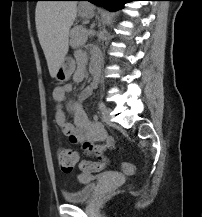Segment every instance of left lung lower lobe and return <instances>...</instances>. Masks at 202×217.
Returning a JSON list of instances; mask_svg holds the SVG:
<instances>
[{
    "label": "left lung lower lobe",
    "instance_id": "left-lung-lower-lobe-1",
    "mask_svg": "<svg viewBox=\"0 0 202 217\" xmlns=\"http://www.w3.org/2000/svg\"><path fill=\"white\" fill-rule=\"evenodd\" d=\"M89 1L97 6L104 7L109 11H117L122 9L125 3L136 0H84Z\"/></svg>",
    "mask_w": 202,
    "mask_h": 217
}]
</instances>
